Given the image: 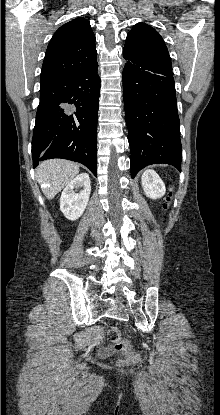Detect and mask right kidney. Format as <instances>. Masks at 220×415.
Wrapping results in <instances>:
<instances>
[{
  "mask_svg": "<svg viewBox=\"0 0 220 415\" xmlns=\"http://www.w3.org/2000/svg\"><path fill=\"white\" fill-rule=\"evenodd\" d=\"M76 187H82L80 193H75ZM91 192L90 178L87 173H81L65 187L60 197V210L69 220L78 219L84 212Z\"/></svg>",
  "mask_w": 220,
  "mask_h": 415,
  "instance_id": "ca27d5eb",
  "label": "right kidney"
}]
</instances>
